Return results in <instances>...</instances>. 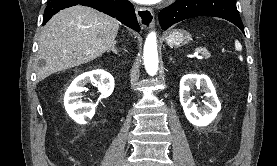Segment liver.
<instances>
[{"label":"liver","mask_w":277,"mask_h":166,"mask_svg":"<svg viewBox=\"0 0 277 166\" xmlns=\"http://www.w3.org/2000/svg\"><path fill=\"white\" fill-rule=\"evenodd\" d=\"M116 19L86 6H73L53 16L39 39L37 71L41 81L49 75L91 62L115 44Z\"/></svg>","instance_id":"6515ba94"}]
</instances>
